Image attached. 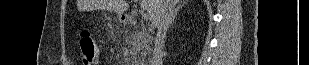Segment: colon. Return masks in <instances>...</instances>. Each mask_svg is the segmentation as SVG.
<instances>
[{"mask_svg":"<svg viewBox=\"0 0 309 65\" xmlns=\"http://www.w3.org/2000/svg\"><path fill=\"white\" fill-rule=\"evenodd\" d=\"M79 45L82 52L83 64H96L99 60V52L92 35L88 31H83L81 33Z\"/></svg>","mask_w":309,"mask_h":65,"instance_id":"obj_1","label":"colon"}]
</instances>
